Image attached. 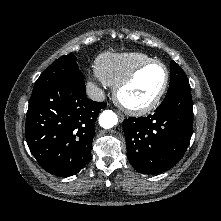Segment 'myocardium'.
Returning a JSON list of instances; mask_svg holds the SVG:
<instances>
[{
  "mask_svg": "<svg viewBox=\"0 0 221 221\" xmlns=\"http://www.w3.org/2000/svg\"><path fill=\"white\" fill-rule=\"evenodd\" d=\"M154 65L160 66L164 70V73H165L164 82L160 90L157 92V94L154 96L152 100H150L144 105L135 106V105L128 104L122 98V95H121L122 91L126 89L128 86H130L143 70ZM169 80H170L169 70L164 63L157 61V60H150V61L144 62L140 64L139 66H137L136 68H134L122 81H120L115 86L114 93H113L114 101L122 110H124L125 112L131 115L141 116V115L147 114L151 112L154 108H156L157 105L162 100L168 88Z\"/></svg>",
  "mask_w": 221,
  "mask_h": 221,
  "instance_id": "f54148a6",
  "label": "myocardium"
}]
</instances>
